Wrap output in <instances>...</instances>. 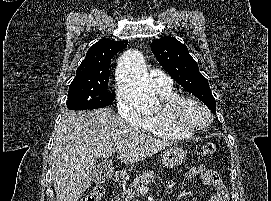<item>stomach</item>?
I'll use <instances>...</instances> for the list:
<instances>
[{
    "label": "stomach",
    "mask_w": 271,
    "mask_h": 201,
    "mask_svg": "<svg viewBox=\"0 0 271 201\" xmlns=\"http://www.w3.org/2000/svg\"><path fill=\"white\" fill-rule=\"evenodd\" d=\"M187 156V151L179 146H172L166 149L162 155V164L167 168L181 165Z\"/></svg>",
    "instance_id": "1"
}]
</instances>
